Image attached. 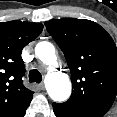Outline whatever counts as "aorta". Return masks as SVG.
Wrapping results in <instances>:
<instances>
[{
  "mask_svg": "<svg viewBox=\"0 0 117 117\" xmlns=\"http://www.w3.org/2000/svg\"><path fill=\"white\" fill-rule=\"evenodd\" d=\"M36 56L47 66H50L46 75V89L55 102L66 101L71 94V82L68 75L52 67L57 63L55 48L50 42H39L35 48Z\"/></svg>",
  "mask_w": 117,
  "mask_h": 117,
  "instance_id": "762f6f07",
  "label": "aorta"
}]
</instances>
